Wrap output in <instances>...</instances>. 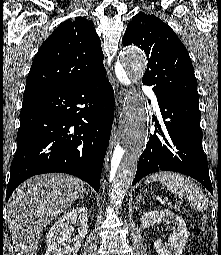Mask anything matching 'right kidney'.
<instances>
[{
	"label": "right kidney",
	"mask_w": 221,
	"mask_h": 255,
	"mask_svg": "<svg viewBox=\"0 0 221 255\" xmlns=\"http://www.w3.org/2000/svg\"><path fill=\"white\" fill-rule=\"evenodd\" d=\"M79 225L78 236L72 237L73 225ZM88 230V213L84 207L73 208L61 216L47 235L45 255H77ZM68 241L71 245H66Z\"/></svg>",
	"instance_id": "1"
}]
</instances>
